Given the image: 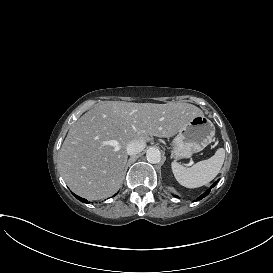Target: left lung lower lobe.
Here are the masks:
<instances>
[{
    "label": "left lung lower lobe",
    "mask_w": 273,
    "mask_h": 273,
    "mask_svg": "<svg viewBox=\"0 0 273 273\" xmlns=\"http://www.w3.org/2000/svg\"><path fill=\"white\" fill-rule=\"evenodd\" d=\"M217 182H218V181H217ZM217 182H215V183L213 184V186H211V188L214 187V186L217 184ZM209 193H210V190L206 191L203 195H201V196L198 198V200H201L202 198H204L205 196H207Z\"/></svg>",
    "instance_id": "0a47b994"
}]
</instances>
